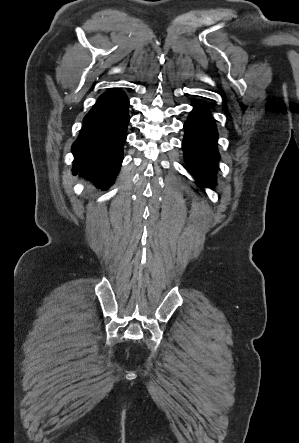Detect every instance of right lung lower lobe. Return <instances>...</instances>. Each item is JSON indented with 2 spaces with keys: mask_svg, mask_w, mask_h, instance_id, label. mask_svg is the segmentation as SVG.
I'll return each instance as SVG.
<instances>
[{
  "mask_svg": "<svg viewBox=\"0 0 299 443\" xmlns=\"http://www.w3.org/2000/svg\"><path fill=\"white\" fill-rule=\"evenodd\" d=\"M128 106V98L119 89L103 93L85 116L72 146L73 173L80 172L103 190L113 184L123 160Z\"/></svg>",
  "mask_w": 299,
  "mask_h": 443,
  "instance_id": "98d812e1",
  "label": "right lung lower lobe"
}]
</instances>
